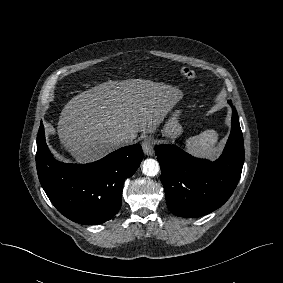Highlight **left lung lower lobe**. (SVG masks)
<instances>
[{"label": "left lung lower lobe", "mask_w": 283, "mask_h": 283, "mask_svg": "<svg viewBox=\"0 0 283 283\" xmlns=\"http://www.w3.org/2000/svg\"><path fill=\"white\" fill-rule=\"evenodd\" d=\"M228 103L232 106L231 101ZM154 149L167 206L180 217H200L218 209L231 196L241 176L244 142L235 109L226 147L214 162L195 158L175 145Z\"/></svg>", "instance_id": "1"}]
</instances>
